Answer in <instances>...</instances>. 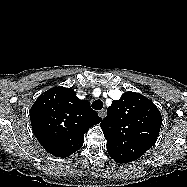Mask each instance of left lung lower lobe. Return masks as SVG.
<instances>
[{
	"instance_id": "left-lung-lower-lobe-1",
	"label": "left lung lower lobe",
	"mask_w": 187,
	"mask_h": 187,
	"mask_svg": "<svg viewBox=\"0 0 187 187\" xmlns=\"http://www.w3.org/2000/svg\"><path fill=\"white\" fill-rule=\"evenodd\" d=\"M112 158H113V160L115 161V162H117V163H120V164H123V163H127V162H125L123 159H121V158H119L118 156H115V155H110Z\"/></svg>"
}]
</instances>
